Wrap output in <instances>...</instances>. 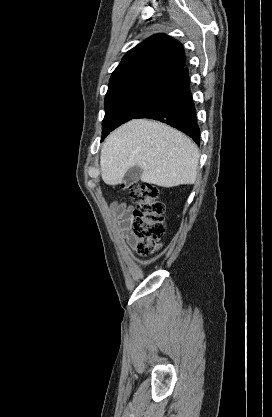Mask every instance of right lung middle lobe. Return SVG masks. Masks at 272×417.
I'll return each mask as SVG.
<instances>
[{
  "mask_svg": "<svg viewBox=\"0 0 272 417\" xmlns=\"http://www.w3.org/2000/svg\"><path fill=\"white\" fill-rule=\"evenodd\" d=\"M160 89L158 87L131 88L106 97L101 141L110 131L133 119L150 103Z\"/></svg>",
  "mask_w": 272,
  "mask_h": 417,
  "instance_id": "dd1d6c3e",
  "label": "right lung middle lobe"
}]
</instances>
